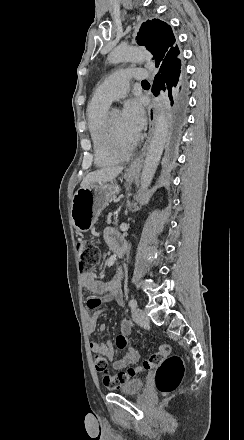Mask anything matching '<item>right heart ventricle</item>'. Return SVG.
<instances>
[{
	"mask_svg": "<svg viewBox=\"0 0 244 440\" xmlns=\"http://www.w3.org/2000/svg\"><path fill=\"white\" fill-rule=\"evenodd\" d=\"M109 107L110 104L93 102L92 100L87 107L88 128L95 148V162L100 168L115 167L124 158V154L120 152L117 143L112 142L114 144L112 147H106L104 145L106 142L102 140V133L106 131L102 130L101 126L104 125V117Z\"/></svg>",
	"mask_w": 244,
	"mask_h": 440,
	"instance_id": "right-heart-ventricle-1",
	"label": "right heart ventricle"
}]
</instances>
